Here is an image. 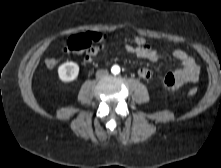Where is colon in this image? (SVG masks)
Returning a JSON list of instances; mask_svg holds the SVG:
<instances>
[{
    "mask_svg": "<svg viewBox=\"0 0 221 168\" xmlns=\"http://www.w3.org/2000/svg\"><path fill=\"white\" fill-rule=\"evenodd\" d=\"M109 36L107 33H81L71 36L66 42V51L71 54L88 53L95 44L100 42H108ZM132 43L136 47H144L147 44V39L142 36H135L132 38ZM45 64L48 68H54L57 61L54 58H47ZM189 95L194 96L197 94V88L193 87L188 91Z\"/></svg>",
    "mask_w": 221,
    "mask_h": 168,
    "instance_id": "1",
    "label": "colon"
}]
</instances>
